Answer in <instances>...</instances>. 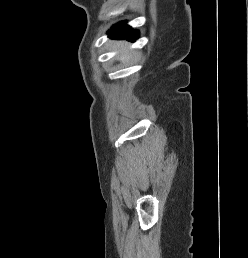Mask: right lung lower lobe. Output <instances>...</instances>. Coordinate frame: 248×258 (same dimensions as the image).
Instances as JSON below:
<instances>
[{
	"label": "right lung lower lobe",
	"mask_w": 248,
	"mask_h": 258,
	"mask_svg": "<svg viewBox=\"0 0 248 258\" xmlns=\"http://www.w3.org/2000/svg\"><path fill=\"white\" fill-rule=\"evenodd\" d=\"M109 36L114 39H127L131 42L138 38V31L132 30V28L125 24V22H120L112 27L108 32Z\"/></svg>",
	"instance_id": "right-lung-lower-lobe-1"
}]
</instances>
